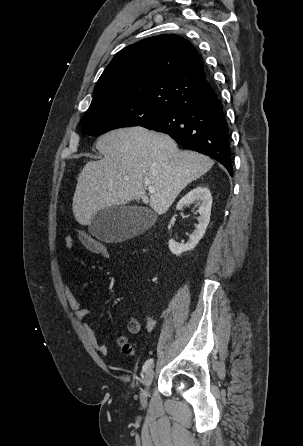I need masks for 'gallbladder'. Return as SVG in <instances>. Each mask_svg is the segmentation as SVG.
Wrapping results in <instances>:
<instances>
[{
    "mask_svg": "<svg viewBox=\"0 0 303 446\" xmlns=\"http://www.w3.org/2000/svg\"><path fill=\"white\" fill-rule=\"evenodd\" d=\"M155 215L137 206H114L98 211L89 225L90 233L106 242H118L147 230Z\"/></svg>",
    "mask_w": 303,
    "mask_h": 446,
    "instance_id": "gallbladder-1",
    "label": "gallbladder"
}]
</instances>
